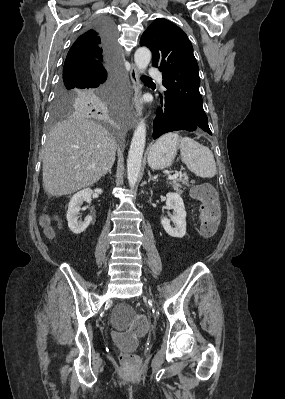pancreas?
I'll use <instances>...</instances> for the list:
<instances>
[{"label":"pancreas","mask_w":285,"mask_h":399,"mask_svg":"<svg viewBox=\"0 0 285 399\" xmlns=\"http://www.w3.org/2000/svg\"><path fill=\"white\" fill-rule=\"evenodd\" d=\"M169 184L172 185L173 189L176 190L179 193H182L183 191L181 190V188L183 187V185L185 186H190L189 181L187 178H180L177 179L175 181H171Z\"/></svg>","instance_id":"1"}]
</instances>
